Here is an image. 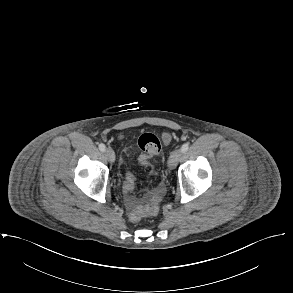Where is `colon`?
<instances>
[{
    "mask_svg": "<svg viewBox=\"0 0 293 293\" xmlns=\"http://www.w3.org/2000/svg\"><path fill=\"white\" fill-rule=\"evenodd\" d=\"M139 146L143 152L140 157V161L143 164H148L151 158L160 153L162 147L159 138L151 132H144L140 136ZM133 186L134 177L132 174H127L126 180L124 182V190L130 193L133 189ZM143 198L149 200L150 207L146 209L140 208L136 206L133 201V207L130 211V220L133 222L139 221L145 214H154L157 211L158 205L161 201V194L158 190H152L149 187H146L143 192Z\"/></svg>",
    "mask_w": 293,
    "mask_h": 293,
    "instance_id": "colon-1",
    "label": "colon"
}]
</instances>
